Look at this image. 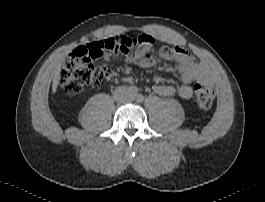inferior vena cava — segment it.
<instances>
[{"label": "inferior vena cava", "instance_id": "inferior-vena-cava-1", "mask_svg": "<svg viewBox=\"0 0 265 202\" xmlns=\"http://www.w3.org/2000/svg\"><path fill=\"white\" fill-rule=\"evenodd\" d=\"M113 98L116 102L125 103L130 101L131 94L127 87L120 86L113 91Z\"/></svg>", "mask_w": 265, "mask_h": 202}]
</instances>
